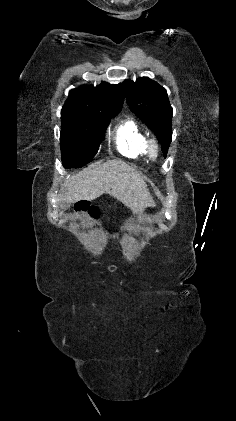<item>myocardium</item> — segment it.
<instances>
[{
    "label": "myocardium",
    "mask_w": 236,
    "mask_h": 421,
    "mask_svg": "<svg viewBox=\"0 0 236 421\" xmlns=\"http://www.w3.org/2000/svg\"><path fill=\"white\" fill-rule=\"evenodd\" d=\"M146 153L151 160H156L160 155V146L157 140L150 139L146 143Z\"/></svg>",
    "instance_id": "f54148a6"
}]
</instances>
